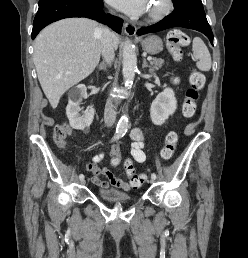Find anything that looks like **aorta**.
Listing matches in <instances>:
<instances>
[{"instance_id": "1", "label": "aorta", "mask_w": 248, "mask_h": 258, "mask_svg": "<svg viewBox=\"0 0 248 258\" xmlns=\"http://www.w3.org/2000/svg\"><path fill=\"white\" fill-rule=\"evenodd\" d=\"M123 77L126 86H130L133 83V79L135 77V72L137 70V57L135 53V49L132 47L129 41L124 43L123 47ZM128 128V118L126 116H122L118 122L116 132L119 134H123L127 131Z\"/></svg>"}]
</instances>
